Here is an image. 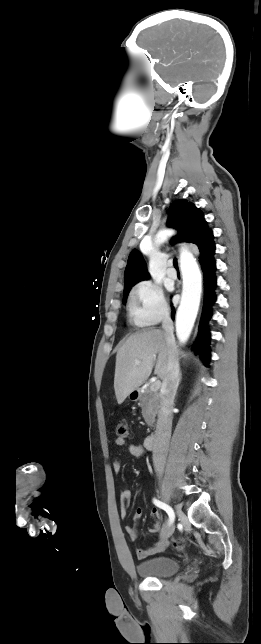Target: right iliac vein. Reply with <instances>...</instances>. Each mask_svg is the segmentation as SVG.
<instances>
[{
	"mask_svg": "<svg viewBox=\"0 0 261 644\" xmlns=\"http://www.w3.org/2000/svg\"><path fill=\"white\" fill-rule=\"evenodd\" d=\"M161 492H162V496H163L164 500L168 501V496H167V494H166L165 489L163 488V486L161 487ZM177 514H178L179 516H181V514H182V513H181V511H180V510H178V509H177ZM174 529H175L174 525H173V524H170L167 528H165V529L162 531L161 536H162L163 538H166V539H167V538H169V537L173 534Z\"/></svg>",
	"mask_w": 261,
	"mask_h": 644,
	"instance_id": "obj_1",
	"label": "right iliac vein"
}]
</instances>
